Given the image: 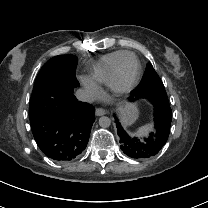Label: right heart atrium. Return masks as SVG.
<instances>
[{"mask_svg":"<svg viewBox=\"0 0 208 208\" xmlns=\"http://www.w3.org/2000/svg\"><path fill=\"white\" fill-rule=\"evenodd\" d=\"M79 79L93 99H98L102 96L101 88H99L89 77L80 76Z\"/></svg>","mask_w":208,"mask_h":208,"instance_id":"1","label":"right heart atrium"}]
</instances>
